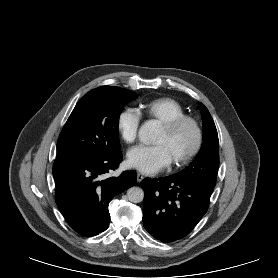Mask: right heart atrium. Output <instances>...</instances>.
<instances>
[{"instance_id":"1","label":"right heart atrium","mask_w":278,"mask_h":278,"mask_svg":"<svg viewBox=\"0 0 278 278\" xmlns=\"http://www.w3.org/2000/svg\"><path fill=\"white\" fill-rule=\"evenodd\" d=\"M141 116L133 108H125L117 116L116 126L123 141L132 143L135 141L140 126Z\"/></svg>"}]
</instances>
